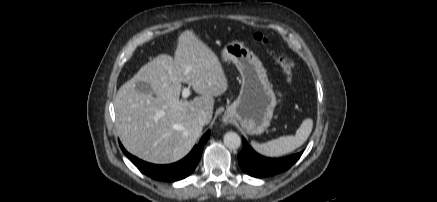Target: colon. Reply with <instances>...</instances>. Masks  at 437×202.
<instances>
[{
	"label": "colon",
	"instance_id": "5ec220e1",
	"mask_svg": "<svg viewBox=\"0 0 437 202\" xmlns=\"http://www.w3.org/2000/svg\"><path fill=\"white\" fill-rule=\"evenodd\" d=\"M253 38L255 41L262 44H266L268 42L267 38L261 33L254 34ZM272 55L285 74L287 82L292 83L294 79V63L292 59L285 52L272 53Z\"/></svg>",
	"mask_w": 437,
	"mask_h": 202
}]
</instances>
